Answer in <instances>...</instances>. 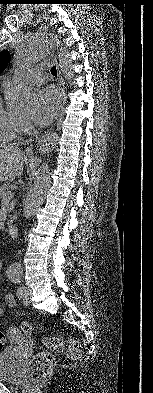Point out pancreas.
<instances>
[{"instance_id": "obj_1", "label": "pancreas", "mask_w": 153, "mask_h": 393, "mask_svg": "<svg viewBox=\"0 0 153 393\" xmlns=\"http://www.w3.org/2000/svg\"><path fill=\"white\" fill-rule=\"evenodd\" d=\"M11 185L9 182H5L1 187H0V198L4 199L8 194L11 193L10 191ZM12 220H8V224Z\"/></svg>"}]
</instances>
